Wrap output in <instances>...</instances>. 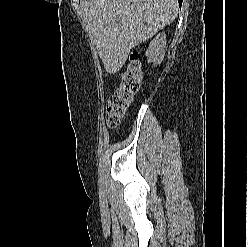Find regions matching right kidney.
<instances>
[{
    "label": "right kidney",
    "mask_w": 248,
    "mask_h": 247,
    "mask_svg": "<svg viewBox=\"0 0 248 247\" xmlns=\"http://www.w3.org/2000/svg\"><path fill=\"white\" fill-rule=\"evenodd\" d=\"M166 35L158 34L149 44L146 51L148 62H153L154 65L160 64L165 55Z\"/></svg>",
    "instance_id": "obj_1"
}]
</instances>
